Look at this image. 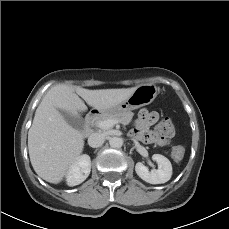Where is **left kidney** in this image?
I'll return each mask as SVG.
<instances>
[{
    "mask_svg": "<svg viewBox=\"0 0 229 229\" xmlns=\"http://www.w3.org/2000/svg\"><path fill=\"white\" fill-rule=\"evenodd\" d=\"M152 159L157 162L158 169L149 171L145 165L138 162L135 166L137 175L150 184H162L169 181L172 176L171 162L161 154H154Z\"/></svg>",
    "mask_w": 229,
    "mask_h": 229,
    "instance_id": "left-kidney-1",
    "label": "left kidney"
}]
</instances>
